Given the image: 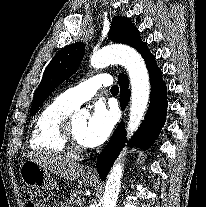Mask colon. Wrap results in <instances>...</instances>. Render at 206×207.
I'll list each match as a JSON object with an SVG mask.
<instances>
[{
	"mask_svg": "<svg viewBox=\"0 0 206 207\" xmlns=\"http://www.w3.org/2000/svg\"><path fill=\"white\" fill-rule=\"evenodd\" d=\"M27 203L28 207H44L46 198L41 192L32 190L27 195Z\"/></svg>",
	"mask_w": 206,
	"mask_h": 207,
	"instance_id": "1",
	"label": "colon"
}]
</instances>
